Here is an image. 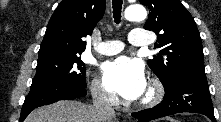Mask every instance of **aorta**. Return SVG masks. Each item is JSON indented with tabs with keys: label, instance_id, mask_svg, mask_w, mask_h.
Listing matches in <instances>:
<instances>
[{
	"label": "aorta",
	"instance_id": "aorta-1",
	"mask_svg": "<svg viewBox=\"0 0 221 122\" xmlns=\"http://www.w3.org/2000/svg\"><path fill=\"white\" fill-rule=\"evenodd\" d=\"M124 16L128 21H142L146 18V9L140 4H133L126 8Z\"/></svg>",
	"mask_w": 221,
	"mask_h": 122
}]
</instances>
